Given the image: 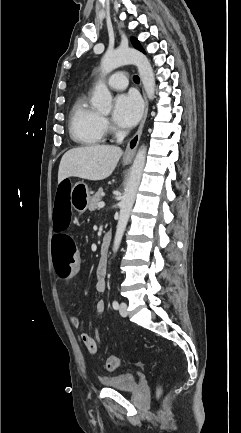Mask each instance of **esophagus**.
I'll list each match as a JSON object with an SVG mask.
<instances>
[{
  "mask_svg": "<svg viewBox=\"0 0 241 433\" xmlns=\"http://www.w3.org/2000/svg\"><path fill=\"white\" fill-rule=\"evenodd\" d=\"M143 93V98H144V113H143V117L141 120V123L139 125V128L137 130V132L135 133V135L129 140L127 147L125 149V153L123 156L124 160H131L134 157V154L136 152V149L138 147L139 141H140V137L143 131V127L146 121V117H147V113H148V101H147V97L144 93V90H142Z\"/></svg>",
  "mask_w": 241,
  "mask_h": 433,
  "instance_id": "esophagus-1",
  "label": "esophagus"
}]
</instances>
